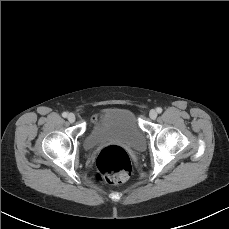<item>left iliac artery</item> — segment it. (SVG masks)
Listing matches in <instances>:
<instances>
[{"label":"left iliac artery","mask_w":229,"mask_h":229,"mask_svg":"<svg viewBox=\"0 0 229 229\" xmlns=\"http://www.w3.org/2000/svg\"><path fill=\"white\" fill-rule=\"evenodd\" d=\"M156 111H157L158 113H161V112H162V108L158 107V108L156 109Z\"/></svg>","instance_id":"left-iliac-artery-1"}]
</instances>
